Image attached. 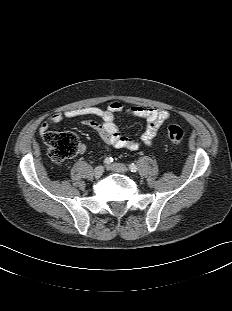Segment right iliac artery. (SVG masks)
<instances>
[{"mask_svg": "<svg viewBox=\"0 0 232 311\" xmlns=\"http://www.w3.org/2000/svg\"><path fill=\"white\" fill-rule=\"evenodd\" d=\"M113 162V158L112 157H106L105 160H104V163L106 165H109Z\"/></svg>", "mask_w": 232, "mask_h": 311, "instance_id": "right-iliac-artery-1", "label": "right iliac artery"}]
</instances>
